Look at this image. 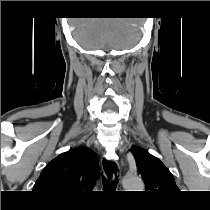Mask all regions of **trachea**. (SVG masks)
Listing matches in <instances>:
<instances>
[{
    "label": "trachea",
    "mask_w": 210,
    "mask_h": 210,
    "mask_svg": "<svg viewBox=\"0 0 210 210\" xmlns=\"http://www.w3.org/2000/svg\"><path fill=\"white\" fill-rule=\"evenodd\" d=\"M118 183V180H114L113 182L109 183L106 181V179L103 180V186L104 187H116Z\"/></svg>",
    "instance_id": "trachea-1"
}]
</instances>
